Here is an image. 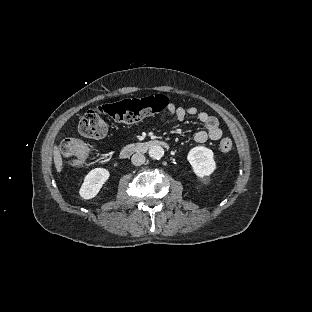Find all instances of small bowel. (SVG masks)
<instances>
[{"label": "small bowel", "mask_w": 312, "mask_h": 312, "mask_svg": "<svg viewBox=\"0 0 312 312\" xmlns=\"http://www.w3.org/2000/svg\"><path fill=\"white\" fill-rule=\"evenodd\" d=\"M167 112L178 123L183 122L187 117H195L205 126L206 130L199 131L194 135V140L197 143H204L208 140L216 141L223 135L218 118L205 111H200L195 106L183 107L176 105L175 103H169L167 106Z\"/></svg>", "instance_id": "obj_1"}]
</instances>
